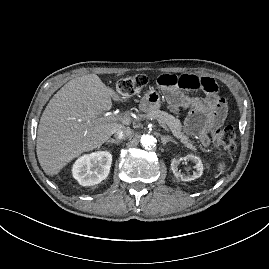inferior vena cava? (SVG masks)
Listing matches in <instances>:
<instances>
[{"instance_id":"inferior-vena-cava-1","label":"inferior vena cava","mask_w":269,"mask_h":269,"mask_svg":"<svg viewBox=\"0 0 269 269\" xmlns=\"http://www.w3.org/2000/svg\"><path fill=\"white\" fill-rule=\"evenodd\" d=\"M131 135V129L129 127H124L122 129H118L115 132V138L118 140L125 139Z\"/></svg>"}]
</instances>
